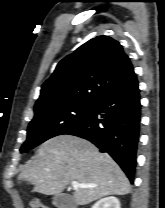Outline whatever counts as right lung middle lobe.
Here are the masks:
<instances>
[{
    "label": "right lung middle lobe",
    "instance_id": "right-lung-middle-lobe-1",
    "mask_svg": "<svg viewBox=\"0 0 165 208\" xmlns=\"http://www.w3.org/2000/svg\"><path fill=\"white\" fill-rule=\"evenodd\" d=\"M96 104L97 102L69 101L36 109L28 126L27 140L20 151L27 152L52 137L67 134L88 118Z\"/></svg>",
    "mask_w": 165,
    "mask_h": 208
}]
</instances>
